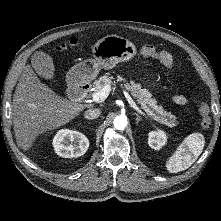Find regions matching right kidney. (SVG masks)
<instances>
[{
  "label": "right kidney",
  "mask_w": 221,
  "mask_h": 221,
  "mask_svg": "<svg viewBox=\"0 0 221 221\" xmlns=\"http://www.w3.org/2000/svg\"><path fill=\"white\" fill-rule=\"evenodd\" d=\"M55 152L64 158L80 157L89 147L87 137L78 131L63 129L53 139Z\"/></svg>",
  "instance_id": "1"
}]
</instances>
